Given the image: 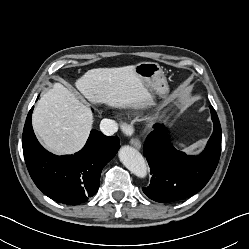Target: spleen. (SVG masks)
Returning a JSON list of instances; mask_svg holds the SVG:
<instances>
[{
    "instance_id": "3e777b00",
    "label": "spleen",
    "mask_w": 249,
    "mask_h": 249,
    "mask_svg": "<svg viewBox=\"0 0 249 249\" xmlns=\"http://www.w3.org/2000/svg\"><path fill=\"white\" fill-rule=\"evenodd\" d=\"M178 146L182 149V151H185V152H192L196 149L195 146H190L189 148L184 147L183 144H178Z\"/></svg>"
}]
</instances>
